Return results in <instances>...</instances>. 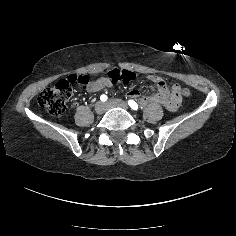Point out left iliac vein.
<instances>
[{
    "instance_id": "4c4485c4",
    "label": "left iliac vein",
    "mask_w": 236,
    "mask_h": 236,
    "mask_svg": "<svg viewBox=\"0 0 236 236\" xmlns=\"http://www.w3.org/2000/svg\"><path fill=\"white\" fill-rule=\"evenodd\" d=\"M107 106V109L114 108V107H120L125 110L128 109V104L125 101L118 100V99H111L105 104Z\"/></svg>"
}]
</instances>
